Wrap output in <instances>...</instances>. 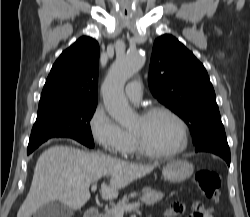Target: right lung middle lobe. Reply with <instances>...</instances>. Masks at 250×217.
<instances>
[{"label": "right lung middle lobe", "mask_w": 250, "mask_h": 217, "mask_svg": "<svg viewBox=\"0 0 250 217\" xmlns=\"http://www.w3.org/2000/svg\"><path fill=\"white\" fill-rule=\"evenodd\" d=\"M95 104H82L38 113L32 128L27 154L53 137H67L88 147H94L90 120Z\"/></svg>", "instance_id": "obj_1"}]
</instances>
